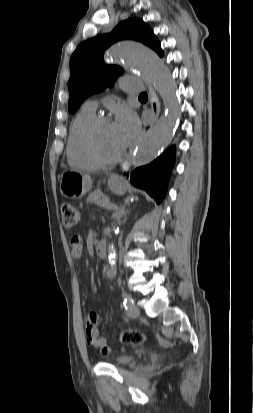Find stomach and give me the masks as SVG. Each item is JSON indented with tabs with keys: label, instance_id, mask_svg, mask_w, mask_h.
<instances>
[{
	"label": "stomach",
	"instance_id": "1",
	"mask_svg": "<svg viewBox=\"0 0 253 413\" xmlns=\"http://www.w3.org/2000/svg\"><path fill=\"white\" fill-rule=\"evenodd\" d=\"M108 186L117 195H123L127 191V186L121 179L110 180ZM91 187L92 180L87 174L65 171L61 175L60 191L65 197L80 198L89 192Z\"/></svg>",
	"mask_w": 253,
	"mask_h": 413
}]
</instances>
